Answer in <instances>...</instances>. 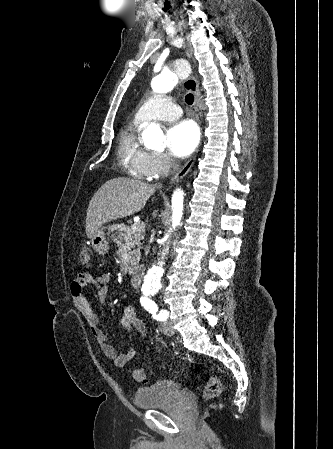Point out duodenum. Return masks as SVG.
Here are the masks:
<instances>
[{
    "instance_id": "obj_1",
    "label": "duodenum",
    "mask_w": 333,
    "mask_h": 449,
    "mask_svg": "<svg viewBox=\"0 0 333 449\" xmlns=\"http://www.w3.org/2000/svg\"><path fill=\"white\" fill-rule=\"evenodd\" d=\"M131 285L138 289L141 285L143 278V270L139 267L132 268L130 271Z\"/></svg>"
}]
</instances>
